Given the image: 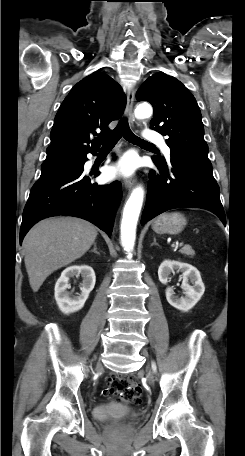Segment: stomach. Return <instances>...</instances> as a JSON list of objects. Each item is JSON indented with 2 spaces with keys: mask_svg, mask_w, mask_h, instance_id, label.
Wrapping results in <instances>:
<instances>
[{
  "mask_svg": "<svg viewBox=\"0 0 245 456\" xmlns=\"http://www.w3.org/2000/svg\"><path fill=\"white\" fill-rule=\"evenodd\" d=\"M186 225V218L179 212L164 213L152 223V229L159 234H178Z\"/></svg>",
  "mask_w": 245,
  "mask_h": 456,
  "instance_id": "1",
  "label": "stomach"
}]
</instances>
